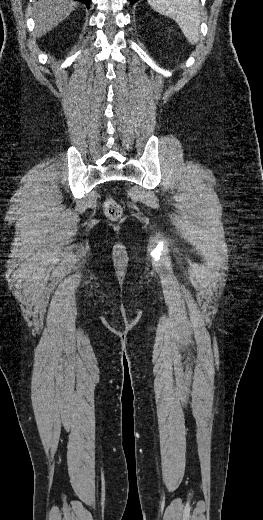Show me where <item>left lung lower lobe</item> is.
I'll use <instances>...</instances> for the list:
<instances>
[{
    "label": "left lung lower lobe",
    "instance_id": "1",
    "mask_svg": "<svg viewBox=\"0 0 263 520\" xmlns=\"http://www.w3.org/2000/svg\"><path fill=\"white\" fill-rule=\"evenodd\" d=\"M136 1H138V0H130V3L134 4Z\"/></svg>",
    "mask_w": 263,
    "mask_h": 520
}]
</instances>
